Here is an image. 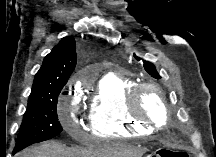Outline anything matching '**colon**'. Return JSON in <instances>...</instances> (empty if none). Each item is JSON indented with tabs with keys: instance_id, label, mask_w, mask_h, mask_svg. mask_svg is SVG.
I'll use <instances>...</instances> for the list:
<instances>
[{
	"instance_id": "obj_1",
	"label": "colon",
	"mask_w": 216,
	"mask_h": 157,
	"mask_svg": "<svg viewBox=\"0 0 216 157\" xmlns=\"http://www.w3.org/2000/svg\"><path fill=\"white\" fill-rule=\"evenodd\" d=\"M153 157H189L188 153L183 150H173L170 148H159Z\"/></svg>"
}]
</instances>
